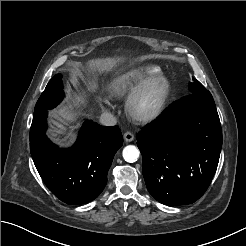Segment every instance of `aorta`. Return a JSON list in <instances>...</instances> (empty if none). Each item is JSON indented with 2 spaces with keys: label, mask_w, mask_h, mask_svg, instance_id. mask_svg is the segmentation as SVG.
<instances>
[{
  "label": "aorta",
  "mask_w": 246,
  "mask_h": 246,
  "mask_svg": "<svg viewBox=\"0 0 246 246\" xmlns=\"http://www.w3.org/2000/svg\"><path fill=\"white\" fill-rule=\"evenodd\" d=\"M123 158L126 162L133 163L139 158V149L134 145H128L123 149Z\"/></svg>",
  "instance_id": "obj_1"
}]
</instances>
